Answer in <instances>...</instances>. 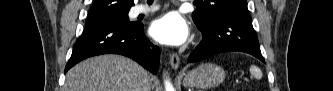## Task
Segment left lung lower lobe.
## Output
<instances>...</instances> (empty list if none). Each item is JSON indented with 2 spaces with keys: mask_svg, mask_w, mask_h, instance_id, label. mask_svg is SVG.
<instances>
[{
  "mask_svg": "<svg viewBox=\"0 0 333 91\" xmlns=\"http://www.w3.org/2000/svg\"><path fill=\"white\" fill-rule=\"evenodd\" d=\"M199 30L202 41L189 56L190 63L232 51L249 53L264 62L248 10L222 13Z\"/></svg>",
  "mask_w": 333,
  "mask_h": 91,
  "instance_id": "1",
  "label": "left lung lower lobe"
}]
</instances>
